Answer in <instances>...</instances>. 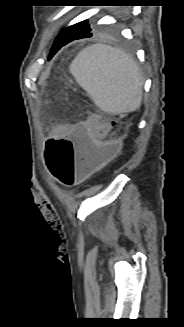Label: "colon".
<instances>
[{"mask_svg":"<svg viewBox=\"0 0 184 327\" xmlns=\"http://www.w3.org/2000/svg\"><path fill=\"white\" fill-rule=\"evenodd\" d=\"M117 129V120L93 115L89 122L76 124L71 136L51 138L45 146L48 169L66 187L82 183L117 154Z\"/></svg>","mask_w":184,"mask_h":327,"instance_id":"colon-1","label":"colon"}]
</instances>
